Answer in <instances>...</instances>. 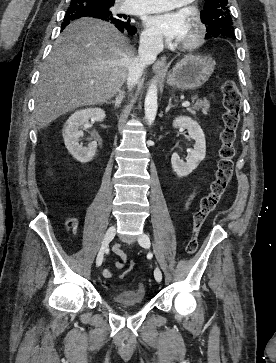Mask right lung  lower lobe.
Returning a JSON list of instances; mask_svg holds the SVG:
<instances>
[{
  "label": "right lung lower lobe",
  "mask_w": 276,
  "mask_h": 363,
  "mask_svg": "<svg viewBox=\"0 0 276 363\" xmlns=\"http://www.w3.org/2000/svg\"><path fill=\"white\" fill-rule=\"evenodd\" d=\"M81 17H93V18H98V19H102L100 18V16L96 13H93L92 11L86 10V9H76L74 11H67L64 17V22L62 23L61 26V30H63L71 21L75 20V19H79ZM103 20V19H102ZM105 21H111V20H105ZM111 22H113L116 27L118 28L119 31L121 32H128L130 35H134L136 33V28L132 27L129 23V21L127 22H117L115 20H112Z\"/></svg>",
  "instance_id": "obj_1"
}]
</instances>
